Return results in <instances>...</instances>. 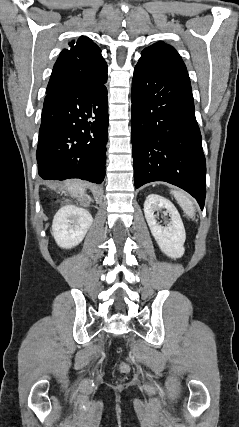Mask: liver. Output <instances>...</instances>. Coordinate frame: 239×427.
<instances>
[{
	"instance_id": "6515ba94",
	"label": "liver",
	"mask_w": 239,
	"mask_h": 427,
	"mask_svg": "<svg viewBox=\"0 0 239 427\" xmlns=\"http://www.w3.org/2000/svg\"><path fill=\"white\" fill-rule=\"evenodd\" d=\"M63 188L72 196L78 198L80 201H83L84 197L86 196V184L80 180H68L64 183Z\"/></svg>"
}]
</instances>
